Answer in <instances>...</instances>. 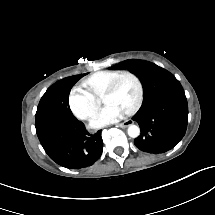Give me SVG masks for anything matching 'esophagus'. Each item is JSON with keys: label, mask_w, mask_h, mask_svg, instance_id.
<instances>
[{"label": "esophagus", "mask_w": 215, "mask_h": 215, "mask_svg": "<svg viewBox=\"0 0 215 215\" xmlns=\"http://www.w3.org/2000/svg\"><path fill=\"white\" fill-rule=\"evenodd\" d=\"M133 123H134V121L132 119H128V120L120 123L119 126L121 128H125V127H128V126L132 125Z\"/></svg>", "instance_id": "esophagus-1"}]
</instances>
